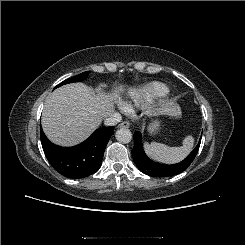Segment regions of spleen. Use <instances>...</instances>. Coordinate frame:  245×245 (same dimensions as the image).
<instances>
[{"label":"spleen","mask_w":245,"mask_h":245,"mask_svg":"<svg viewBox=\"0 0 245 245\" xmlns=\"http://www.w3.org/2000/svg\"><path fill=\"white\" fill-rule=\"evenodd\" d=\"M194 139L187 136L183 140V146L169 147L162 143L144 142V150L146 154L153 160L165 164H174L182 161L192 150Z\"/></svg>","instance_id":"spleen-1"}]
</instances>
